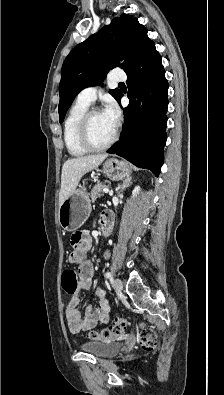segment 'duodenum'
<instances>
[{
	"instance_id": "duodenum-1",
	"label": "duodenum",
	"mask_w": 224,
	"mask_h": 395,
	"mask_svg": "<svg viewBox=\"0 0 224 395\" xmlns=\"http://www.w3.org/2000/svg\"><path fill=\"white\" fill-rule=\"evenodd\" d=\"M114 217L112 213L105 211L100 216L101 232L104 237H108L113 228Z\"/></svg>"
}]
</instances>
